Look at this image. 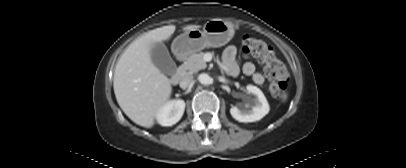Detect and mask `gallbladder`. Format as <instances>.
<instances>
[{
  "instance_id": "bac80fb5",
  "label": "gallbladder",
  "mask_w": 406,
  "mask_h": 168,
  "mask_svg": "<svg viewBox=\"0 0 406 168\" xmlns=\"http://www.w3.org/2000/svg\"><path fill=\"white\" fill-rule=\"evenodd\" d=\"M151 59L153 64L163 73L172 74L175 71V62L164 43L158 42L152 47Z\"/></svg>"
}]
</instances>
